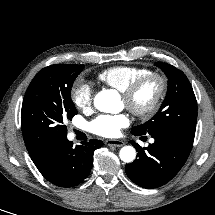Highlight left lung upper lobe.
Returning a JSON list of instances; mask_svg holds the SVG:
<instances>
[{"label": "left lung upper lobe", "instance_id": "left-lung-upper-lobe-1", "mask_svg": "<svg viewBox=\"0 0 215 215\" xmlns=\"http://www.w3.org/2000/svg\"><path fill=\"white\" fill-rule=\"evenodd\" d=\"M168 77V90L159 112L144 124L131 129L132 133L154 134L172 132L193 141L197 121V102L185 74L172 65L156 62Z\"/></svg>", "mask_w": 215, "mask_h": 215}]
</instances>
